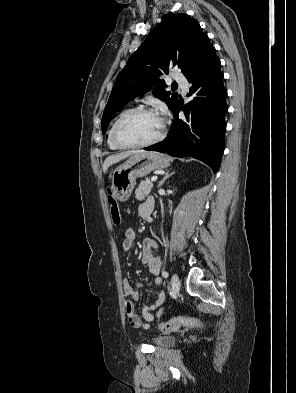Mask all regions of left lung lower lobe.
Returning <instances> with one entry per match:
<instances>
[{
    "label": "left lung lower lobe",
    "mask_w": 296,
    "mask_h": 393,
    "mask_svg": "<svg viewBox=\"0 0 296 393\" xmlns=\"http://www.w3.org/2000/svg\"><path fill=\"white\" fill-rule=\"evenodd\" d=\"M220 65L214 49L187 78L193 84L188 94L194 96L193 100L185 106L186 110L177 104L169 135L145 150L168 153L174 157L191 156L217 172L225 145V115L228 109L225 101L227 90L223 85ZM180 108L184 111L185 120L178 117Z\"/></svg>",
    "instance_id": "obj_1"
}]
</instances>
